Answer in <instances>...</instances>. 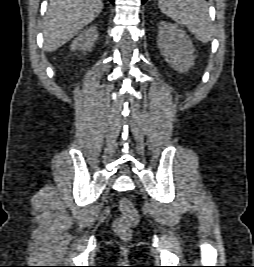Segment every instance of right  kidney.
Here are the masks:
<instances>
[{"instance_id":"ca27d5eb","label":"right kidney","mask_w":254,"mask_h":267,"mask_svg":"<svg viewBox=\"0 0 254 267\" xmlns=\"http://www.w3.org/2000/svg\"><path fill=\"white\" fill-rule=\"evenodd\" d=\"M98 37V31L95 26H92L81 33L71 44V49L76 50H91Z\"/></svg>"}]
</instances>
